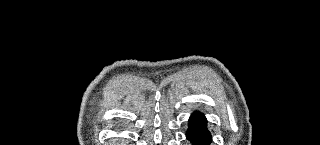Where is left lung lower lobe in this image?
<instances>
[{
    "mask_svg": "<svg viewBox=\"0 0 320 145\" xmlns=\"http://www.w3.org/2000/svg\"><path fill=\"white\" fill-rule=\"evenodd\" d=\"M189 128L186 133L187 139L193 145H209L211 135L207 129V121L203 114L195 112L189 119Z\"/></svg>",
    "mask_w": 320,
    "mask_h": 145,
    "instance_id": "obj_1",
    "label": "left lung lower lobe"
}]
</instances>
